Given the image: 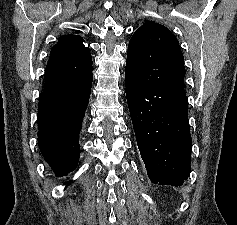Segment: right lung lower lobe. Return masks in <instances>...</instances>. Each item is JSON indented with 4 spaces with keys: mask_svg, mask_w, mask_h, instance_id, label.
Returning <instances> with one entry per match:
<instances>
[{
    "mask_svg": "<svg viewBox=\"0 0 237 225\" xmlns=\"http://www.w3.org/2000/svg\"><path fill=\"white\" fill-rule=\"evenodd\" d=\"M92 80L72 90L43 91L39 96L38 145L57 176L73 171L79 160V134Z\"/></svg>",
    "mask_w": 237,
    "mask_h": 225,
    "instance_id": "1",
    "label": "right lung lower lobe"
}]
</instances>
